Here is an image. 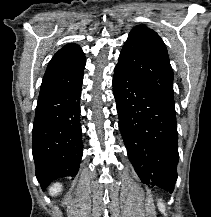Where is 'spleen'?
Masks as SVG:
<instances>
[{
    "label": "spleen",
    "mask_w": 211,
    "mask_h": 217,
    "mask_svg": "<svg viewBox=\"0 0 211 217\" xmlns=\"http://www.w3.org/2000/svg\"><path fill=\"white\" fill-rule=\"evenodd\" d=\"M157 205H158L159 210L162 212V214L166 215L165 205L163 204V202L161 200H159Z\"/></svg>",
    "instance_id": "3e777b00"
}]
</instances>
